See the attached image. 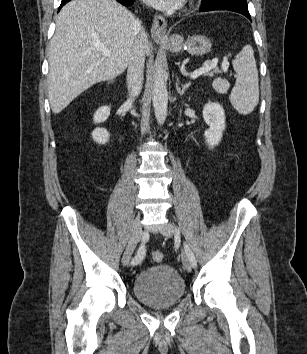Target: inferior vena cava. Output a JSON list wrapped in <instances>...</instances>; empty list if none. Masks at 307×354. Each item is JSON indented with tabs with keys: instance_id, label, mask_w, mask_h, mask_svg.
Listing matches in <instances>:
<instances>
[{
	"instance_id": "obj_1",
	"label": "inferior vena cava",
	"mask_w": 307,
	"mask_h": 354,
	"mask_svg": "<svg viewBox=\"0 0 307 354\" xmlns=\"http://www.w3.org/2000/svg\"><path fill=\"white\" fill-rule=\"evenodd\" d=\"M137 37L132 49L127 71V88L131 100L137 97L142 89L144 65H145V44L147 34L139 20L135 23Z\"/></svg>"
}]
</instances>
